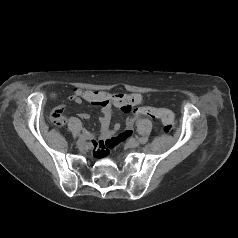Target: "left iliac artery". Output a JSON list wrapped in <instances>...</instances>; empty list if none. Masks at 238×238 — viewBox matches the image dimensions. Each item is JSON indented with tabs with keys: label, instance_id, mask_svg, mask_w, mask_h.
Masks as SVG:
<instances>
[{
	"label": "left iliac artery",
	"instance_id": "44dca946",
	"mask_svg": "<svg viewBox=\"0 0 238 238\" xmlns=\"http://www.w3.org/2000/svg\"><path fill=\"white\" fill-rule=\"evenodd\" d=\"M136 138H138V137H136ZM139 141L143 143V142H145V138H139Z\"/></svg>",
	"mask_w": 238,
	"mask_h": 238
}]
</instances>
